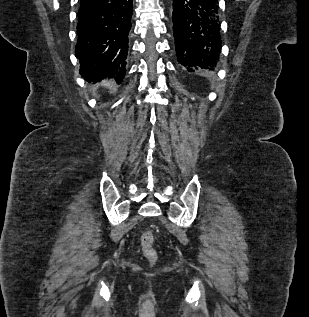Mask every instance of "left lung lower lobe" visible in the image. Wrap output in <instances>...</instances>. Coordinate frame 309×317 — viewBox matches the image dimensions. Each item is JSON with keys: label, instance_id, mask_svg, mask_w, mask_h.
I'll return each instance as SVG.
<instances>
[{"label": "left lung lower lobe", "instance_id": "left-lung-lower-lobe-1", "mask_svg": "<svg viewBox=\"0 0 309 317\" xmlns=\"http://www.w3.org/2000/svg\"><path fill=\"white\" fill-rule=\"evenodd\" d=\"M218 1L173 0L175 49L181 65L216 67L222 47Z\"/></svg>", "mask_w": 309, "mask_h": 317}]
</instances>
